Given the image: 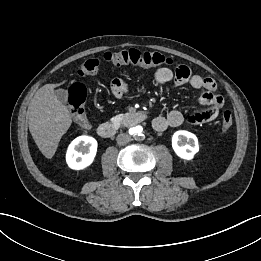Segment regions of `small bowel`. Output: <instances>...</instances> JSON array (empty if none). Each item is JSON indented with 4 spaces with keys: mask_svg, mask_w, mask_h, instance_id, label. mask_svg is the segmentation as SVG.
<instances>
[{
    "mask_svg": "<svg viewBox=\"0 0 261 261\" xmlns=\"http://www.w3.org/2000/svg\"><path fill=\"white\" fill-rule=\"evenodd\" d=\"M154 80L159 84L173 82L177 86L189 85L193 89L202 90L199 104L204 107L202 111L191 114L187 121L191 124H202L213 121L219 114V109L223 106V98L216 94V83L210 78H204L197 74H192L185 65H178L175 72L162 67L154 74ZM113 92L120 96L127 93V87L121 80L113 81ZM185 121L184 116L177 110L169 111L165 116H157L153 120V127L156 131L162 132L170 127H178Z\"/></svg>",
    "mask_w": 261,
    "mask_h": 261,
    "instance_id": "obj_1",
    "label": "small bowel"
}]
</instances>
